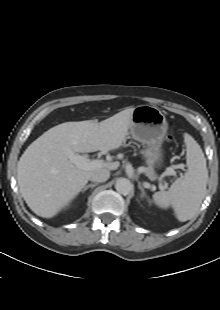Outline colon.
Instances as JSON below:
<instances>
[{"label":"colon","mask_w":220,"mask_h":310,"mask_svg":"<svg viewBox=\"0 0 220 310\" xmlns=\"http://www.w3.org/2000/svg\"><path fill=\"white\" fill-rule=\"evenodd\" d=\"M171 139H172V137H171V136H169V137H168V140L170 141Z\"/></svg>","instance_id":"1"}]
</instances>
